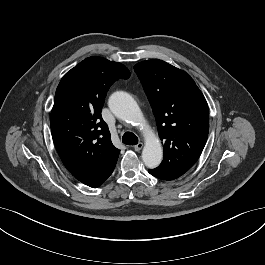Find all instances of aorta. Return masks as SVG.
I'll use <instances>...</instances> for the list:
<instances>
[{
  "label": "aorta",
  "mask_w": 265,
  "mask_h": 265,
  "mask_svg": "<svg viewBox=\"0 0 265 265\" xmlns=\"http://www.w3.org/2000/svg\"><path fill=\"white\" fill-rule=\"evenodd\" d=\"M108 106L114 115L132 124H142L145 137V146L142 151V160L148 168H156L163 158L162 146L155 134L145 126L141 109L134 98L127 92L116 91L108 100Z\"/></svg>",
  "instance_id": "1"
}]
</instances>
